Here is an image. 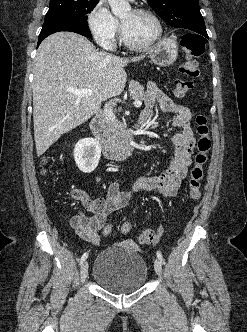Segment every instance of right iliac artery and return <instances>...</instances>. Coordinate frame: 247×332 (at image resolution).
I'll use <instances>...</instances> for the list:
<instances>
[{"instance_id":"1","label":"right iliac artery","mask_w":247,"mask_h":332,"mask_svg":"<svg viewBox=\"0 0 247 332\" xmlns=\"http://www.w3.org/2000/svg\"><path fill=\"white\" fill-rule=\"evenodd\" d=\"M88 257V253H84L82 257L79 259V264L81 265Z\"/></svg>"}]
</instances>
